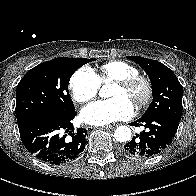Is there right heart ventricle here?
<instances>
[{
    "mask_svg": "<svg viewBox=\"0 0 196 196\" xmlns=\"http://www.w3.org/2000/svg\"><path fill=\"white\" fill-rule=\"evenodd\" d=\"M139 74V70L131 63L122 60H113L102 64L98 71L100 83H106Z\"/></svg>",
    "mask_w": 196,
    "mask_h": 196,
    "instance_id": "right-heart-ventricle-1",
    "label": "right heart ventricle"
}]
</instances>
